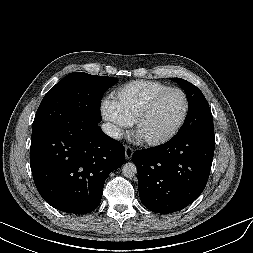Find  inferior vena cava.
<instances>
[{"instance_id":"obj_1","label":"inferior vena cava","mask_w":253,"mask_h":253,"mask_svg":"<svg viewBox=\"0 0 253 253\" xmlns=\"http://www.w3.org/2000/svg\"><path fill=\"white\" fill-rule=\"evenodd\" d=\"M103 132L110 136L113 139H120L121 138V130L112 123H103L101 126Z\"/></svg>"}]
</instances>
